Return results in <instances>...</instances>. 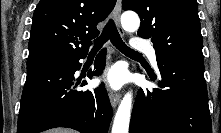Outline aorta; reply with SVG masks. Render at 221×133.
<instances>
[{
	"label": "aorta",
	"mask_w": 221,
	"mask_h": 133,
	"mask_svg": "<svg viewBox=\"0 0 221 133\" xmlns=\"http://www.w3.org/2000/svg\"><path fill=\"white\" fill-rule=\"evenodd\" d=\"M121 24L124 30L134 32L139 29L140 19L134 12H125L121 16ZM132 109V93L127 92L122 98L117 112L111 133H128Z\"/></svg>",
	"instance_id": "762f6f07"
}]
</instances>
